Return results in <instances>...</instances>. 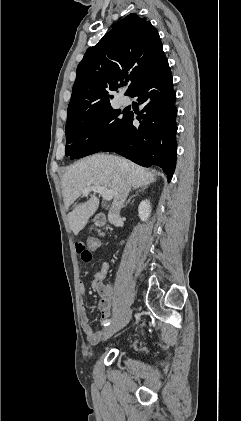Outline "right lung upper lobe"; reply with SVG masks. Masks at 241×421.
Instances as JSON below:
<instances>
[{
    "label": "right lung upper lobe",
    "mask_w": 241,
    "mask_h": 421,
    "mask_svg": "<svg viewBox=\"0 0 241 421\" xmlns=\"http://www.w3.org/2000/svg\"><path fill=\"white\" fill-rule=\"evenodd\" d=\"M164 57L158 31L146 18L132 13L115 23L77 67L66 124L110 107L125 78L131 95Z\"/></svg>",
    "instance_id": "right-lung-upper-lobe-1"
}]
</instances>
